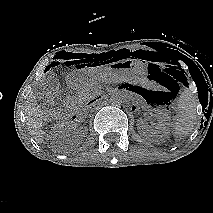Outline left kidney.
I'll return each instance as SVG.
<instances>
[{
    "label": "left kidney",
    "instance_id": "1",
    "mask_svg": "<svg viewBox=\"0 0 213 213\" xmlns=\"http://www.w3.org/2000/svg\"><path fill=\"white\" fill-rule=\"evenodd\" d=\"M151 116L157 119V124L154 128H149V126L144 122L141 121L139 126V132L145 136H155L159 139L167 137L169 133V116L165 109L159 108L155 109Z\"/></svg>",
    "mask_w": 213,
    "mask_h": 213
}]
</instances>
